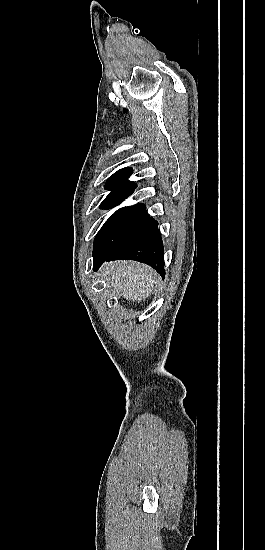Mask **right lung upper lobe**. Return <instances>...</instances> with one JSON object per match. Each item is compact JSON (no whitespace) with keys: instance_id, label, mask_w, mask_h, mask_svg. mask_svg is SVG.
<instances>
[{"instance_id":"obj_1","label":"right lung upper lobe","mask_w":265,"mask_h":550,"mask_svg":"<svg viewBox=\"0 0 265 550\" xmlns=\"http://www.w3.org/2000/svg\"><path fill=\"white\" fill-rule=\"evenodd\" d=\"M132 174V168L127 167L118 170L106 182L105 188L111 192L135 189L137 185L134 182L128 181V177Z\"/></svg>"}]
</instances>
